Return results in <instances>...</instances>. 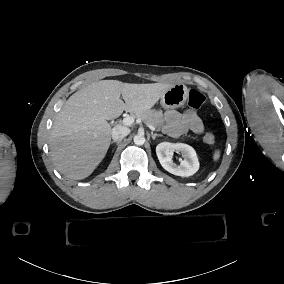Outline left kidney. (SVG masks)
Here are the masks:
<instances>
[{
  "label": "left kidney",
  "mask_w": 284,
  "mask_h": 284,
  "mask_svg": "<svg viewBox=\"0 0 284 284\" xmlns=\"http://www.w3.org/2000/svg\"><path fill=\"white\" fill-rule=\"evenodd\" d=\"M175 150L181 151L185 157L180 165L172 161V154ZM156 154L162 167L174 175L188 177L199 169L197 154L194 148L187 144L162 142L157 145Z\"/></svg>",
  "instance_id": "1"
}]
</instances>
